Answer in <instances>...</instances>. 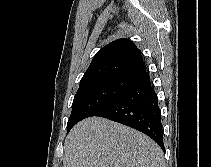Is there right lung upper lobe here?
<instances>
[{
	"mask_svg": "<svg viewBox=\"0 0 211 167\" xmlns=\"http://www.w3.org/2000/svg\"><path fill=\"white\" fill-rule=\"evenodd\" d=\"M146 70L141 51L126 39L115 40L96 53L80 85L104 78H127Z\"/></svg>",
	"mask_w": 211,
	"mask_h": 167,
	"instance_id": "right-lung-upper-lobe-1",
	"label": "right lung upper lobe"
}]
</instances>
